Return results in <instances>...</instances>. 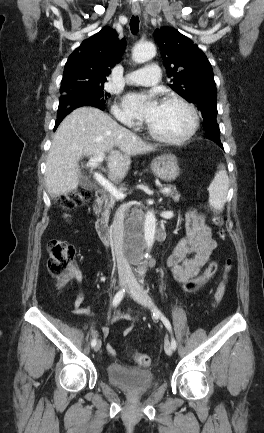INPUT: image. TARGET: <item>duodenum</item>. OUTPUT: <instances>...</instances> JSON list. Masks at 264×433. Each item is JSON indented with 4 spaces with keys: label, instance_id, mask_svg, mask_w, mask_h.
<instances>
[{
    "label": "duodenum",
    "instance_id": "410a0bca",
    "mask_svg": "<svg viewBox=\"0 0 264 433\" xmlns=\"http://www.w3.org/2000/svg\"><path fill=\"white\" fill-rule=\"evenodd\" d=\"M105 198V193L102 190H97L94 193V209L97 213L95 218V228L98 236L106 243L109 244L112 237V230L108 222L101 216L98 215V204H100ZM159 232V236H160Z\"/></svg>",
    "mask_w": 264,
    "mask_h": 433
}]
</instances>
